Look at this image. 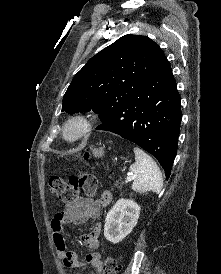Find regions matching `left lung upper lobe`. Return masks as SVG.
Masks as SVG:
<instances>
[{"label":"left lung upper lobe","mask_w":221,"mask_h":274,"mask_svg":"<svg viewBox=\"0 0 221 274\" xmlns=\"http://www.w3.org/2000/svg\"><path fill=\"white\" fill-rule=\"evenodd\" d=\"M165 59L161 48L146 36L119 38L74 76L63 97L62 112L93 110L104 116L136 96Z\"/></svg>","instance_id":"1"}]
</instances>
